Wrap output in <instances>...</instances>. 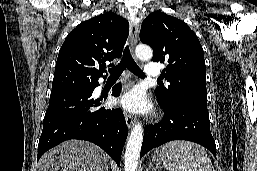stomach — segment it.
<instances>
[{"mask_svg": "<svg viewBox=\"0 0 257 171\" xmlns=\"http://www.w3.org/2000/svg\"><path fill=\"white\" fill-rule=\"evenodd\" d=\"M153 162L156 164V167L168 166L167 154L162 150H157L153 155Z\"/></svg>", "mask_w": 257, "mask_h": 171, "instance_id": "obj_1", "label": "stomach"}]
</instances>
